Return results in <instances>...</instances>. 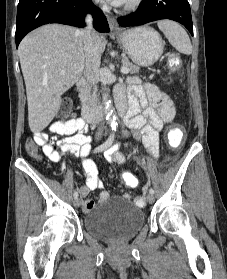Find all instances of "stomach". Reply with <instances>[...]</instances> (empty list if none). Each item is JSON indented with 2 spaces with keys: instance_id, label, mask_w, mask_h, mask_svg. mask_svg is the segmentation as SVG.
<instances>
[{
  "instance_id": "1",
  "label": "stomach",
  "mask_w": 227,
  "mask_h": 279,
  "mask_svg": "<svg viewBox=\"0 0 227 279\" xmlns=\"http://www.w3.org/2000/svg\"><path fill=\"white\" fill-rule=\"evenodd\" d=\"M117 41L131 60L139 66H150L162 55L164 43L151 27H137L117 33Z\"/></svg>"
}]
</instances>
